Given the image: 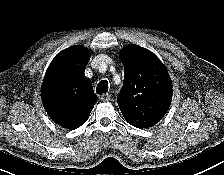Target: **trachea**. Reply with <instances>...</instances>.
<instances>
[{
    "label": "trachea",
    "instance_id": "1",
    "mask_svg": "<svg viewBox=\"0 0 224 175\" xmlns=\"http://www.w3.org/2000/svg\"><path fill=\"white\" fill-rule=\"evenodd\" d=\"M108 91V81L107 80H102L99 82L96 88V92L99 94L106 93Z\"/></svg>",
    "mask_w": 224,
    "mask_h": 175
}]
</instances>
